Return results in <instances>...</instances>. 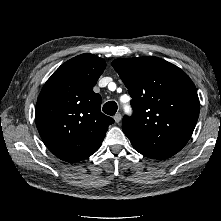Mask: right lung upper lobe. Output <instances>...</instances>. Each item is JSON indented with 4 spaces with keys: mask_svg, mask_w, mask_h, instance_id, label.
I'll return each mask as SVG.
<instances>
[{
    "mask_svg": "<svg viewBox=\"0 0 221 221\" xmlns=\"http://www.w3.org/2000/svg\"><path fill=\"white\" fill-rule=\"evenodd\" d=\"M106 63L92 54L62 64L43 86L35 122L46 147L66 162L94 154L114 122L100 111L101 96L93 92Z\"/></svg>",
    "mask_w": 221,
    "mask_h": 221,
    "instance_id": "right-lung-upper-lobe-1",
    "label": "right lung upper lobe"
}]
</instances>
